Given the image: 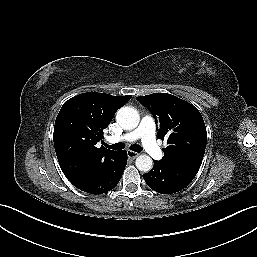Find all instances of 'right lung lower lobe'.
<instances>
[{"label": "right lung lower lobe", "mask_w": 257, "mask_h": 257, "mask_svg": "<svg viewBox=\"0 0 257 257\" xmlns=\"http://www.w3.org/2000/svg\"><path fill=\"white\" fill-rule=\"evenodd\" d=\"M127 164L125 151H118L113 160L91 176L70 180L78 189L90 194H102L116 187Z\"/></svg>", "instance_id": "1"}]
</instances>
